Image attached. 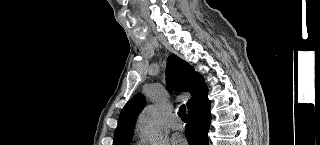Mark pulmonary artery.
Listing matches in <instances>:
<instances>
[{
  "label": "pulmonary artery",
  "instance_id": "pulmonary-artery-1",
  "mask_svg": "<svg viewBox=\"0 0 320 145\" xmlns=\"http://www.w3.org/2000/svg\"><path fill=\"white\" fill-rule=\"evenodd\" d=\"M168 126L171 129L178 130V129H180L182 127V123L179 120L177 115H172L170 117V119L168 120Z\"/></svg>",
  "mask_w": 320,
  "mask_h": 145
}]
</instances>
